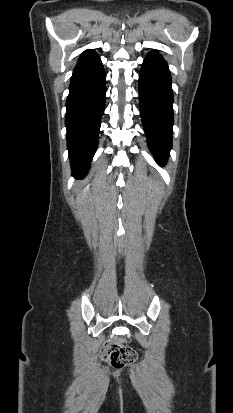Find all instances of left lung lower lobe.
Listing matches in <instances>:
<instances>
[{
    "label": "left lung lower lobe",
    "mask_w": 233,
    "mask_h": 413,
    "mask_svg": "<svg viewBox=\"0 0 233 413\" xmlns=\"http://www.w3.org/2000/svg\"><path fill=\"white\" fill-rule=\"evenodd\" d=\"M173 91L164 58L147 54L139 76V104L148 145L158 164L163 165L172 146Z\"/></svg>",
    "instance_id": "0a47b994"
}]
</instances>
